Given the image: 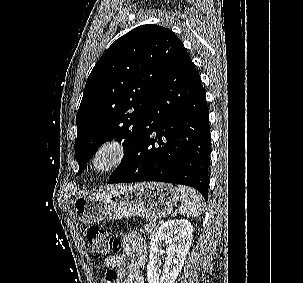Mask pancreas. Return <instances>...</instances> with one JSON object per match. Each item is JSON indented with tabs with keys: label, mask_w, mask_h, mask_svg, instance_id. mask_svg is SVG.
Listing matches in <instances>:
<instances>
[{
	"label": "pancreas",
	"mask_w": 303,
	"mask_h": 283,
	"mask_svg": "<svg viewBox=\"0 0 303 283\" xmlns=\"http://www.w3.org/2000/svg\"><path fill=\"white\" fill-rule=\"evenodd\" d=\"M144 228H145V230L147 231V233H148V235H149L150 237H153L154 234H155L156 231H157L156 223L153 222V221L150 222V224H146V225L144 226Z\"/></svg>",
	"instance_id": "cf45deb5"
}]
</instances>
